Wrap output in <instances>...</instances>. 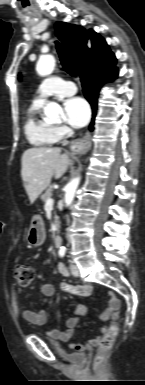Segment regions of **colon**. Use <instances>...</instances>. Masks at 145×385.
<instances>
[{"mask_svg":"<svg viewBox=\"0 0 145 385\" xmlns=\"http://www.w3.org/2000/svg\"><path fill=\"white\" fill-rule=\"evenodd\" d=\"M13 276L19 286L27 287L33 279L34 271L30 265L17 264L14 267ZM64 290L71 294H75L77 292L76 289L69 285L64 286ZM118 330L119 324L117 321L113 320L108 327V332L103 336V338L99 342L98 353L100 357L105 355L110 350L114 339L118 333Z\"/></svg>","mask_w":145,"mask_h":385,"instance_id":"5ec220e1","label":"colon"}]
</instances>
